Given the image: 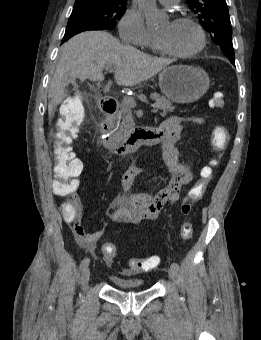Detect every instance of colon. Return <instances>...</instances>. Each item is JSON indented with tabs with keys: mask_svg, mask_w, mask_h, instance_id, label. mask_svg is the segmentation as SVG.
I'll return each mask as SVG.
<instances>
[{
	"mask_svg": "<svg viewBox=\"0 0 261 340\" xmlns=\"http://www.w3.org/2000/svg\"><path fill=\"white\" fill-rule=\"evenodd\" d=\"M225 98L221 92H216L210 105L213 108H224ZM85 119L84 103L78 98H70L63 104L62 115L58 119L55 131L51 136L52 154L54 159L52 190L60 197L69 196L78 187V177L82 172V163L76 158L71 143L77 137L80 126ZM229 140V132L224 126H216L212 131L211 144L214 150L221 151ZM214 171L211 166L201 170L199 181L191 188L188 198L184 201L181 211L185 216L180 226V236L189 240L193 235V225L188 219L193 203L201 198L208 185L212 182ZM63 215L72 216L76 212L75 203L71 200L65 201L61 206ZM102 253L105 258L113 259L117 255L115 244L105 242L102 244ZM160 263L158 256L145 258H131L125 272L148 271L156 268Z\"/></svg>",
	"mask_w": 261,
	"mask_h": 340,
	"instance_id": "obj_1",
	"label": "colon"
}]
</instances>
